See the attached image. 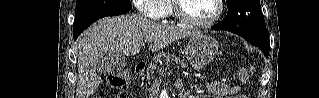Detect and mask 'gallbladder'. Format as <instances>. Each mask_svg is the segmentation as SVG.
<instances>
[{"label": "gallbladder", "mask_w": 319, "mask_h": 98, "mask_svg": "<svg viewBox=\"0 0 319 98\" xmlns=\"http://www.w3.org/2000/svg\"><path fill=\"white\" fill-rule=\"evenodd\" d=\"M97 71L103 74L112 73L125 66L124 56L118 53H100L95 59Z\"/></svg>", "instance_id": "1"}]
</instances>
